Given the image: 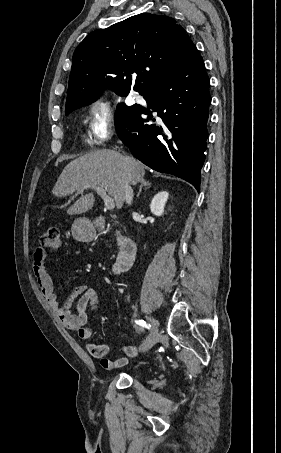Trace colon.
Here are the masks:
<instances>
[{"instance_id":"1","label":"colon","mask_w":281,"mask_h":453,"mask_svg":"<svg viewBox=\"0 0 281 453\" xmlns=\"http://www.w3.org/2000/svg\"><path fill=\"white\" fill-rule=\"evenodd\" d=\"M59 231L60 228L58 226H49L41 237L40 245L47 249L48 255L58 250Z\"/></svg>"}]
</instances>
